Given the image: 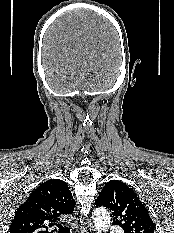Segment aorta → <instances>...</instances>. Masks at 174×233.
Listing matches in <instances>:
<instances>
[{"instance_id":"1","label":"aorta","mask_w":174,"mask_h":233,"mask_svg":"<svg viewBox=\"0 0 174 233\" xmlns=\"http://www.w3.org/2000/svg\"><path fill=\"white\" fill-rule=\"evenodd\" d=\"M96 233L106 232L110 225V213L105 208H96L93 212Z\"/></svg>"}]
</instances>
